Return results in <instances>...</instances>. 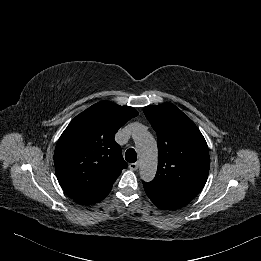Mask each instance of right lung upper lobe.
Listing matches in <instances>:
<instances>
[{"label": "right lung upper lobe", "instance_id": "cb5924a9", "mask_svg": "<svg viewBox=\"0 0 261 261\" xmlns=\"http://www.w3.org/2000/svg\"><path fill=\"white\" fill-rule=\"evenodd\" d=\"M137 115L132 107L102 101L70 122L57 142L54 165L61 187L73 200L91 205L109 194L127 167L114 135Z\"/></svg>", "mask_w": 261, "mask_h": 261}]
</instances>
